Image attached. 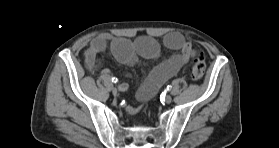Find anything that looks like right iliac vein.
I'll return each mask as SVG.
<instances>
[{
	"instance_id": "1",
	"label": "right iliac vein",
	"mask_w": 279,
	"mask_h": 148,
	"mask_svg": "<svg viewBox=\"0 0 279 148\" xmlns=\"http://www.w3.org/2000/svg\"><path fill=\"white\" fill-rule=\"evenodd\" d=\"M123 86H124V85H121L120 88H123ZM112 94H113L114 96L118 95V89H117L116 87H113V88H112Z\"/></svg>"
}]
</instances>
